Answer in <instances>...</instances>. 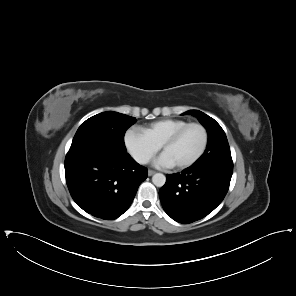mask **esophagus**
<instances>
[{
  "instance_id": "34e87169",
  "label": "esophagus",
  "mask_w": 296,
  "mask_h": 296,
  "mask_svg": "<svg viewBox=\"0 0 296 296\" xmlns=\"http://www.w3.org/2000/svg\"><path fill=\"white\" fill-rule=\"evenodd\" d=\"M153 174H155V171H154V170H151V169H149V170H148V176H152Z\"/></svg>"
}]
</instances>
